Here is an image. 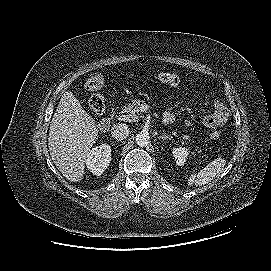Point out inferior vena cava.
Returning <instances> with one entry per match:
<instances>
[{"label":"inferior vena cava","mask_w":271,"mask_h":271,"mask_svg":"<svg viewBox=\"0 0 271 271\" xmlns=\"http://www.w3.org/2000/svg\"><path fill=\"white\" fill-rule=\"evenodd\" d=\"M112 137L116 140H123L127 138L129 134V127L124 123L114 124L111 128Z\"/></svg>","instance_id":"obj_1"}]
</instances>
